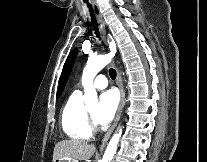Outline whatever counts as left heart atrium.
<instances>
[{"mask_svg": "<svg viewBox=\"0 0 207 162\" xmlns=\"http://www.w3.org/2000/svg\"><path fill=\"white\" fill-rule=\"evenodd\" d=\"M119 106V96L115 90H108L100 95L96 112V120L101 125H107L114 118Z\"/></svg>", "mask_w": 207, "mask_h": 162, "instance_id": "obj_1", "label": "left heart atrium"}]
</instances>
